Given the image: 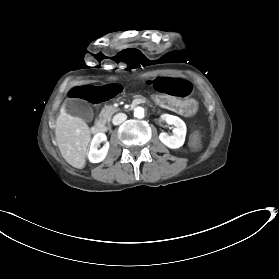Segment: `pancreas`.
I'll return each mask as SVG.
<instances>
[{"mask_svg":"<svg viewBox=\"0 0 279 279\" xmlns=\"http://www.w3.org/2000/svg\"><path fill=\"white\" fill-rule=\"evenodd\" d=\"M132 101H138L143 105H148V100L143 99V97L137 95H132ZM118 111L119 108L115 107L113 104L104 105V107L101 109V112L99 113V117L103 121H108L111 119V116Z\"/></svg>","mask_w":279,"mask_h":279,"instance_id":"cf45deb5","label":"pancreas"}]
</instances>
